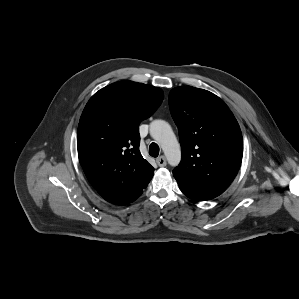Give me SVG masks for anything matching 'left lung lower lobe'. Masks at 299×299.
I'll return each mask as SVG.
<instances>
[{"label": "left lung lower lobe", "instance_id": "obj_1", "mask_svg": "<svg viewBox=\"0 0 299 299\" xmlns=\"http://www.w3.org/2000/svg\"><path fill=\"white\" fill-rule=\"evenodd\" d=\"M181 191L189 198L193 199V200H196V201H205V200H208L206 198H203L201 196H198L196 194H192V193H189V192H186L185 190L181 189Z\"/></svg>", "mask_w": 299, "mask_h": 299}]
</instances>
